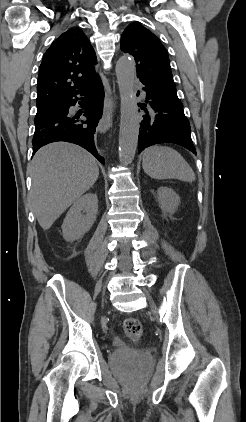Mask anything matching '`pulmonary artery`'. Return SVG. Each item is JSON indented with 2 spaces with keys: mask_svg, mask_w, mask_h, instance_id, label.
<instances>
[{
  "mask_svg": "<svg viewBox=\"0 0 246 422\" xmlns=\"http://www.w3.org/2000/svg\"><path fill=\"white\" fill-rule=\"evenodd\" d=\"M136 87H137V88H139V89H142L141 84H140V83H138V82H136ZM142 93H143V95L145 96V92H144V91H142Z\"/></svg>",
  "mask_w": 246,
  "mask_h": 422,
  "instance_id": "1",
  "label": "pulmonary artery"
}]
</instances>
